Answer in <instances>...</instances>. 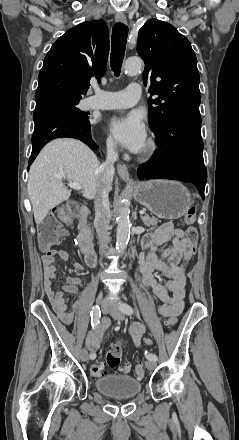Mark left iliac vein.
I'll list each match as a JSON object with an SVG mask.
<instances>
[{"label":"left iliac vein","mask_w":239,"mask_h":440,"mask_svg":"<svg viewBox=\"0 0 239 440\" xmlns=\"http://www.w3.org/2000/svg\"><path fill=\"white\" fill-rule=\"evenodd\" d=\"M108 313L116 320H123L124 319L123 312L116 305H110ZM156 366H157V362L155 360H148L146 362V367L149 370H154L156 368Z\"/></svg>","instance_id":"obj_1"}]
</instances>
